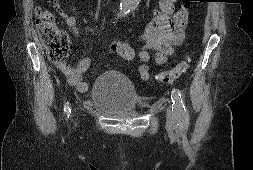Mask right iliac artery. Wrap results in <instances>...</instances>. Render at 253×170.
Wrapping results in <instances>:
<instances>
[{
	"label": "right iliac artery",
	"instance_id": "right-iliac-artery-1",
	"mask_svg": "<svg viewBox=\"0 0 253 170\" xmlns=\"http://www.w3.org/2000/svg\"><path fill=\"white\" fill-rule=\"evenodd\" d=\"M64 112L69 117L71 110H70V108L68 106V103H66V105L64 107Z\"/></svg>",
	"mask_w": 253,
	"mask_h": 170
}]
</instances>
